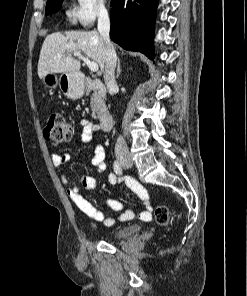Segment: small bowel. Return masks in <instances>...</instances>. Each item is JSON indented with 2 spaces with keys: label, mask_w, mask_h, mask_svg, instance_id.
Wrapping results in <instances>:
<instances>
[{
  "label": "small bowel",
  "mask_w": 247,
  "mask_h": 296,
  "mask_svg": "<svg viewBox=\"0 0 247 296\" xmlns=\"http://www.w3.org/2000/svg\"><path fill=\"white\" fill-rule=\"evenodd\" d=\"M82 134L81 140L84 144L92 145L94 143V135L100 130V126L96 123L89 121L86 118L81 119ZM53 165L60 170V177L62 184L66 187V193L70 200L77 206V208L88 218L100 222L107 227H111L116 221H128L135 217V211L132 208L123 210V205L113 199H108L104 202V206L112 209L120 214L117 217L106 216L102 211L93 206L89 201H87L82 195L83 190H91L96 186V180L92 176L81 177L77 182H72L68 175L62 171V168L66 165L70 159V154L65 152L62 154L54 153L51 156ZM92 165L98 173L106 170L105 153L103 148L95 144L94 145V155L92 158ZM107 181L111 185H118L120 183H125L128 189L141 197L142 199H147V193L144 188L133 178L130 177H120L114 173H110L107 176ZM148 214L149 217L145 218ZM151 217L149 209H145L140 214V218L147 220Z\"/></svg>",
  "instance_id": "obj_1"
}]
</instances>
